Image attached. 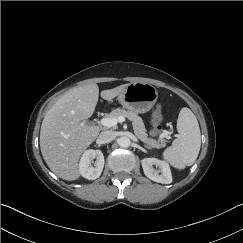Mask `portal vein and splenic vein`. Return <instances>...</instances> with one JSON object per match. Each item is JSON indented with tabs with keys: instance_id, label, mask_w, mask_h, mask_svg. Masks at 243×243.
<instances>
[{
	"instance_id": "1",
	"label": "portal vein and splenic vein",
	"mask_w": 243,
	"mask_h": 243,
	"mask_svg": "<svg viewBox=\"0 0 243 243\" xmlns=\"http://www.w3.org/2000/svg\"><path fill=\"white\" fill-rule=\"evenodd\" d=\"M125 121V118L123 116H120L118 118H114V117H105L102 118L100 120V124L105 126V127H114L116 126L118 123H122Z\"/></svg>"
}]
</instances>
